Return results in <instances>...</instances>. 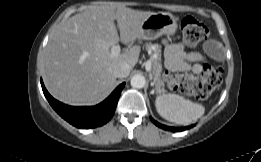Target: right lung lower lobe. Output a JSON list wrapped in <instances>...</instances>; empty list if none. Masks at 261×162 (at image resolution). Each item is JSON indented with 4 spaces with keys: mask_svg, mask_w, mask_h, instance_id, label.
I'll return each mask as SVG.
<instances>
[{
    "mask_svg": "<svg viewBox=\"0 0 261 162\" xmlns=\"http://www.w3.org/2000/svg\"><path fill=\"white\" fill-rule=\"evenodd\" d=\"M45 97L52 108L67 122L77 128H95L107 123L113 116L125 83L120 84L102 103L90 107H73L55 100L46 90L41 79Z\"/></svg>",
    "mask_w": 261,
    "mask_h": 162,
    "instance_id": "98d812e1",
    "label": "right lung lower lobe"
}]
</instances>
